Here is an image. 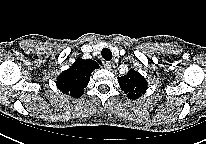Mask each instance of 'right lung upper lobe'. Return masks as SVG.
Masks as SVG:
<instances>
[{"mask_svg": "<svg viewBox=\"0 0 206 144\" xmlns=\"http://www.w3.org/2000/svg\"><path fill=\"white\" fill-rule=\"evenodd\" d=\"M99 64L100 62L91 59H77L67 71L58 76L56 82L58 89L72 97H81L90 81L92 71L98 69Z\"/></svg>", "mask_w": 206, "mask_h": 144, "instance_id": "obj_1", "label": "right lung upper lobe"}]
</instances>
